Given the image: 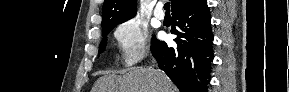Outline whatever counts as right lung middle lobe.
Returning a JSON list of instances; mask_svg holds the SVG:
<instances>
[{
	"instance_id": "obj_1",
	"label": "right lung middle lobe",
	"mask_w": 289,
	"mask_h": 92,
	"mask_svg": "<svg viewBox=\"0 0 289 92\" xmlns=\"http://www.w3.org/2000/svg\"><path fill=\"white\" fill-rule=\"evenodd\" d=\"M117 24H120V23H117ZM117 24L109 25L102 29L103 41L101 42L99 46V53L104 52L106 44H107V35Z\"/></svg>"
}]
</instances>
